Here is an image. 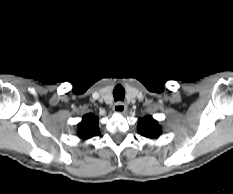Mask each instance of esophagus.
<instances>
[{"mask_svg": "<svg viewBox=\"0 0 233 194\" xmlns=\"http://www.w3.org/2000/svg\"><path fill=\"white\" fill-rule=\"evenodd\" d=\"M113 110L115 113L122 114L126 111V105L123 102L115 103Z\"/></svg>", "mask_w": 233, "mask_h": 194, "instance_id": "1", "label": "esophagus"}]
</instances>
